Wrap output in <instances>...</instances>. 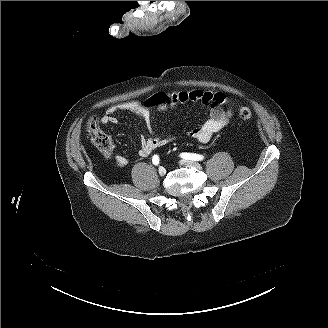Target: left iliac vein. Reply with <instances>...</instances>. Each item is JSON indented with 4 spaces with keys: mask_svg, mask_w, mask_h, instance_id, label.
I'll return each mask as SVG.
<instances>
[{
    "mask_svg": "<svg viewBox=\"0 0 328 328\" xmlns=\"http://www.w3.org/2000/svg\"><path fill=\"white\" fill-rule=\"evenodd\" d=\"M182 165H185V166H193V167H198L200 168L201 165L195 161H191V160H182L180 162Z\"/></svg>",
    "mask_w": 328,
    "mask_h": 328,
    "instance_id": "left-iliac-vein-1",
    "label": "left iliac vein"
}]
</instances>
